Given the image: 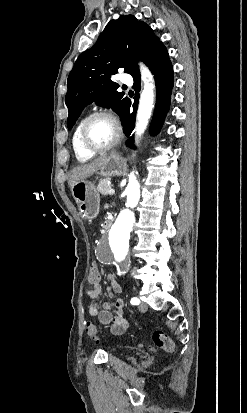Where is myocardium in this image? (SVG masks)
<instances>
[{
    "mask_svg": "<svg viewBox=\"0 0 247 413\" xmlns=\"http://www.w3.org/2000/svg\"><path fill=\"white\" fill-rule=\"evenodd\" d=\"M97 118H107L111 121H113L111 115L105 111V110H99L94 112L93 114H91L82 124L80 131H79V142L81 147L86 151V152H90V153H105L111 149H113L114 147H116L122 138V129L120 128V126L118 125V123H116L115 121H113V123L115 124L117 133L115 135V137L113 138L112 141H110L109 143L102 145V146H94L88 143L87 139H86V131L87 128L89 127V125L91 124L92 121H94Z\"/></svg>",
    "mask_w": 247,
    "mask_h": 413,
    "instance_id": "obj_1",
    "label": "myocardium"
}]
</instances>
